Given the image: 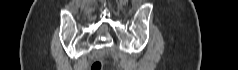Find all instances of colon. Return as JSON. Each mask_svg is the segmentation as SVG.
I'll return each instance as SVG.
<instances>
[{
  "instance_id": "5ec220e1",
  "label": "colon",
  "mask_w": 238,
  "mask_h": 70,
  "mask_svg": "<svg viewBox=\"0 0 238 70\" xmlns=\"http://www.w3.org/2000/svg\"><path fill=\"white\" fill-rule=\"evenodd\" d=\"M91 70H102V62L99 60L94 62L91 66Z\"/></svg>"
}]
</instances>
